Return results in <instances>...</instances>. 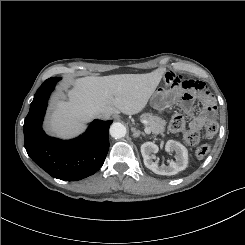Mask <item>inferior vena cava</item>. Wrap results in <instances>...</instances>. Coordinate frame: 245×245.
Returning <instances> with one entry per match:
<instances>
[{"mask_svg":"<svg viewBox=\"0 0 245 245\" xmlns=\"http://www.w3.org/2000/svg\"><path fill=\"white\" fill-rule=\"evenodd\" d=\"M96 117L100 118V119H106L107 115L106 114H97Z\"/></svg>","mask_w":245,"mask_h":245,"instance_id":"inferior-vena-cava-1","label":"inferior vena cava"}]
</instances>
